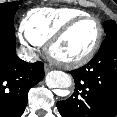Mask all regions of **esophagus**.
<instances>
[{
  "mask_svg": "<svg viewBox=\"0 0 117 117\" xmlns=\"http://www.w3.org/2000/svg\"><path fill=\"white\" fill-rule=\"evenodd\" d=\"M52 69V67L48 64L45 65V72H49Z\"/></svg>",
  "mask_w": 117,
  "mask_h": 117,
  "instance_id": "obj_1",
  "label": "esophagus"
}]
</instances>
